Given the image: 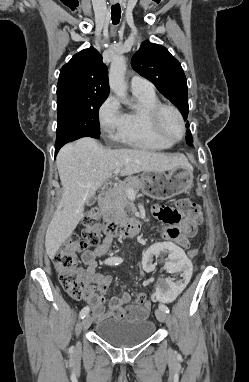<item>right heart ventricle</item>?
I'll list each match as a JSON object with an SVG mask.
<instances>
[{
	"instance_id": "1",
	"label": "right heart ventricle",
	"mask_w": 249,
	"mask_h": 382,
	"mask_svg": "<svg viewBox=\"0 0 249 382\" xmlns=\"http://www.w3.org/2000/svg\"><path fill=\"white\" fill-rule=\"evenodd\" d=\"M139 107L125 114V126L116 138L127 145L145 150H165L173 143L156 134L149 120V111L160 103L155 92H133Z\"/></svg>"
}]
</instances>
